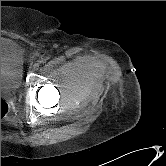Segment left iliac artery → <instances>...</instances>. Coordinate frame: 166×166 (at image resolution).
Masks as SVG:
<instances>
[{"instance_id": "left-iliac-artery-1", "label": "left iliac artery", "mask_w": 166, "mask_h": 166, "mask_svg": "<svg viewBox=\"0 0 166 166\" xmlns=\"http://www.w3.org/2000/svg\"><path fill=\"white\" fill-rule=\"evenodd\" d=\"M45 62H46V59L44 58L40 60V63H45Z\"/></svg>"}]
</instances>
